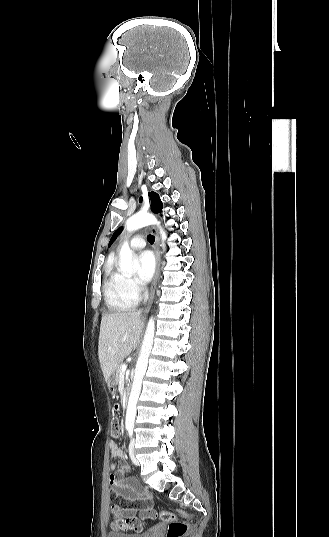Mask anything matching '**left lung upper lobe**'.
<instances>
[{"instance_id":"5c2ea615","label":"left lung upper lobe","mask_w":329,"mask_h":537,"mask_svg":"<svg viewBox=\"0 0 329 537\" xmlns=\"http://www.w3.org/2000/svg\"><path fill=\"white\" fill-rule=\"evenodd\" d=\"M149 196H150V199H151V209L154 213H159L161 212L162 208H163V204L159 198V195L155 192H151L149 193ZM142 199L140 198V201ZM121 228L117 229L114 234L112 235L111 239H110V242H109V246L114 242V240L116 239V237L118 236L119 232H120Z\"/></svg>"}]
</instances>
